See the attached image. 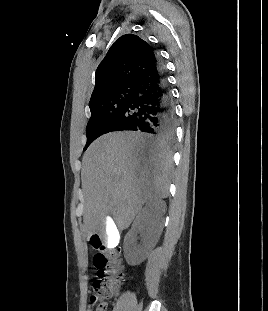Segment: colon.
Segmentation results:
<instances>
[{
  "instance_id": "colon-1",
  "label": "colon",
  "mask_w": 268,
  "mask_h": 311,
  "mask_svg": "<svg viewBox=\"0 0 268 311\" xmlns=\"http://www.w3.org/2000/svg\"><path fill=\"white\" fill-rule=\"evenodd\" d=\"M94 250L92 260L97 269V278L93 281V303H97L95 311H106L103 301L109 298L124 282V267L121 261V249L114 247L106 249L101 245V238L94 235L90 239Z\"/></svg>"
}]
</instances>
